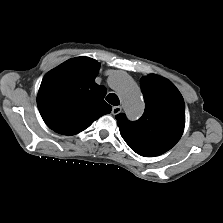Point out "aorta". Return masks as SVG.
Listing matches in <instances>:
<instances>
[{
	"instance_id": "1",
	"label": "aorta",
	"mask_w": 223,
	"mask_h": 223,
	"mask_svg": "<svg viewBox=\"0 0 223 223\" xmlns=\"http://www.w3.org/2000/svg\"><path fill=\"white\" fill-rule=\"evenodd\" d=\"M111 80L122 98L127 117L130 120L139 119L144 112L145 104L138 85L122 71L114 72Z\"/></svg>"
}]
</instances>
